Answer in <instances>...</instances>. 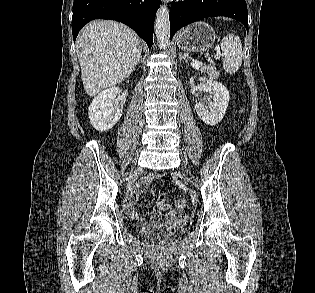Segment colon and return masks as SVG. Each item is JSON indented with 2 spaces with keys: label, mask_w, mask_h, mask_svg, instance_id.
<instances>
[{
  "label": "colon",
  "mask_w": 315,
  "mask_h": 293,
  "mask_svg": "<svg viewBox=\"0 0 315 293\" xmlns=\"http://www.w3.org/2000/svg\"><path fill=\"white\" fill-rule=\"evenodd\" d=\"M241 114L243 115V116H246L247 114H248V107L246 106V105H243L242 107H241ZM240 125H243V122H240ZM187 201L185 200V199H183V198H180V199H178L177 201H176V206H177V208H178V211H183L186 207H187Z\"/></svg>",
  "instance_id": "5ec220e1"
}]
</instances>
